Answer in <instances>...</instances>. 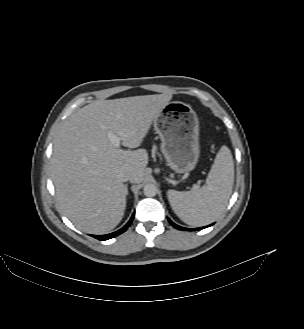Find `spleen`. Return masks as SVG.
<instances>
[{
    "mask_svg": "<svg viewBox=\"0 0 304 329\" xmlns=\"http://www.w3.org/2000/svg\"><path fill=\"white\" fill-rule=\"evenodd\" d=\"M234 183V162L228 147L216 155L206 183L194 191L168 190L174 213L186 224L203 226L217 219L225 210Z\"/></svg>",
    "mask_w": 304,
    "mask_h": 329,
    "instance_id": "spleen-1",
    "label": "spleen"
}]
</instances>
